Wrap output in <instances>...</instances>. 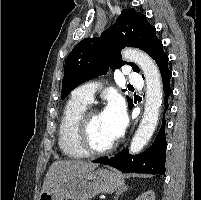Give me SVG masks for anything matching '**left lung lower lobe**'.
I'll list each match as a JSON object with an SVG mask.
<instances>
[{"mask_svg": "<svg viewBox=\"0 0 201 200\" xmlns=\"http://www.w3.org/2000/svg\"><path fill=\"white\" fill-rule=\"evenodd\" d=\"M156 64L159 67L163 81V89L165 93V113L168 108V98L172 93V89L170 87V78L172 74L168 68V56L163 53L156 60ZM164 128L165 115H163L162 127L155 141L145 152L139 155H131L129 154L128 149H124L112 158L104 157L94 160V162L110 165L123 173L135 172L165 175L167 142Z\"/></svg>", "mask_w": 201, "mask_h": 200, "instance_id": "1", "label": "left lung lower lobe"}]
</instances>
